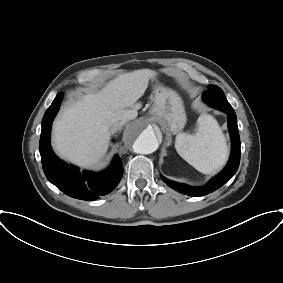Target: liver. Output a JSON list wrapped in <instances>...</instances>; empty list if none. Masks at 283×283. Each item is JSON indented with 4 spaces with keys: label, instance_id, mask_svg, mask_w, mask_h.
Masks as SVG:
<instances>
[{
    "label": "liver",
    "instance_id": "liver-1",
    "mask_svg": "<svg viewBox=\"0 0 283 283\" xmlns=\"http://www.w3.org/2000/svg\"><path fill=\"white\" fill-rule=\"evenodd\" d=\"M154 76L149 69L118 75L100 91L66 107L53 125L55 150L83 168L97 165L108 150L111 126L137 117V101Z\"/></svg>",
    "mask_w": 283,
    "mask_h": 283
}]
</instances>
